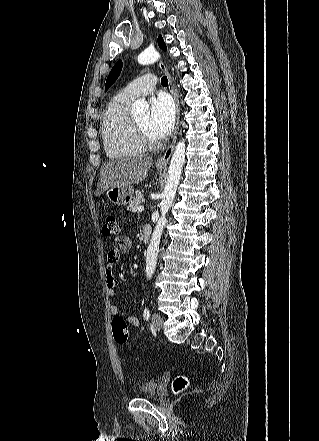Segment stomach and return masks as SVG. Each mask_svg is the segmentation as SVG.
<instances>
[{
  "label": "stomach",
  "instance_id": "1",
  "mask_svg": "<svg viewBox=\"0 0 319 441\" xmlns=\"http://www.w3.org/2000/svg\"><path fill=\"white\" fill-rule=\"evenodd\" d=\"M162 170V167H157ZM106 199L115 205H126L132 201L134 188L131 185L115 186L105 191Z\"/></svg>",
  "mask_w": 319,
  "mask_h": 441
}]
</instances>
